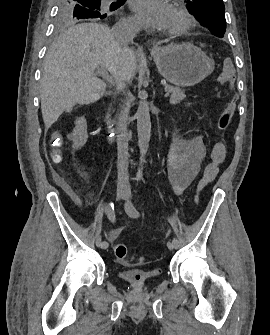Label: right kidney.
<instances>
[{
  "mask_svg": "<svg viewBox=\"0 0 270 335\" xmlns=\"http://www.w3.org/2000/svg\"><path fill=\"white\" fill-rule=\"evenodd\" d=\"M67 138L68 140H72L73 142L72 148H75V150H78V148H82V146L86 144L88 140L87 122L84 116H82V118H77L75 122V128L72 134H68Z\"/></svg>",
  "mask_w": 270,
  "mask_h": 335,
  "instance_id": "right-kidney-1",
  "label": "right kidney"
}]
</instances>
